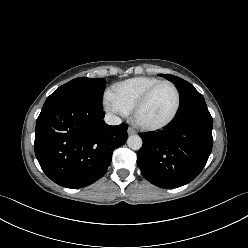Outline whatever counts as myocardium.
<instances>
[{
	"label": "myocardium",
	"mask_w": 248,
	"mask_h": 248,
	"mask_svg": "<svg viewBox=\"0 0 248 248\" xmlns=\"http://www.w3.org/2000/svg\"><path fill=\"white\" fill-rule=\"evenodd\" d=\"M162 85H170L173 88L176 97L174 109L171 115L165 121L157 124L146 123L141 119L140 113L144 108V106L146 105V103L148 102V100L150 99V97L152 96V94L155 92V90ZM180 104H181V96L177 86L169 80H160L159 82L152 85L148 90H146V92L137 101L133 109L134 120L136 124L143 130L151 131V132L163 130L167 128L169 125H171L175 120V118L177 117L180 109Z\"/></svg>",
	"instance_id": "f54148a6"
}]
</instances>
